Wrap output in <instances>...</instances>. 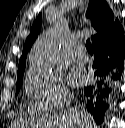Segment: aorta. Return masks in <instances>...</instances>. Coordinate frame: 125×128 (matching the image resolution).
Returning a JSON list of instances; mask_svg holds the SVG:
<instances>
[{
	"label": "aorta",
	"instance_id": "obj_1",
	"mask_svg": "<svg viewBox=\"0 0 125 128\" xmlns=\"http://www.w3.org/2000/svg\"><path fill=\"white\" fill-rule=\"evenodd\" d=\"M61 42V33L57 28L43 34L32 50V64L41 68H52L55 64Z\"/></svg>",
	"mask_w": 125,
	"mask_h": 128
}]
</instances>
